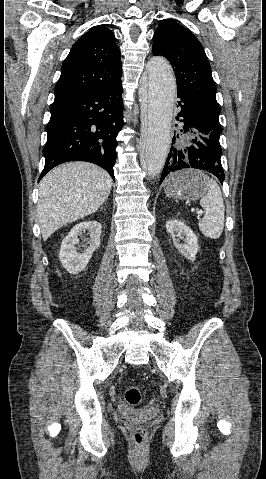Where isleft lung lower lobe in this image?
Returning <instances> with one entry per match:
<instances>
[{
  "label": "left lung lower lobe",
  "mask_w": 266,
  "mask_h": 479,
  "mask_svg": "<svg viewBox=\"0 0 266 479\" xmlns=\"http://www.w3.org/2000/svg\"><path fill=\"white\" fill-rule=\"evenodd\" d=\"M177 97L181 99L179 102L181 110L177 117L183 118L180 120L184 125L180 129L183 137L179 141L173 137L160 184L170 173L184 168L208 171L223 183L222 150L219 143L221 132L190 100L180 94H177Z\"/></svg>",
  "instance_id": "left-lung-lower-lobe-1"
}]
</instances>
